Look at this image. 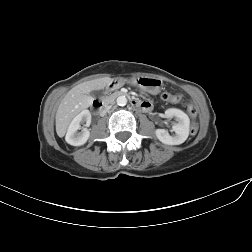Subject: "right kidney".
I'll list each match as a JSON object with an SVG mask.
<instances>
[{"label": "right kidney", "instance_id": "right-kidney-1", "mask_svg": "<svg viewBox=\"0 0 252 252\" xmlns=\"http://www.w3.org/2000/svg\"><path fill=\"white\" fill-rule=\"evenodd\" d=\"M90 123H91L90 111L87 109L81 111L77 116L73 118L68 127L65 136L66 142L72 146L84 145L90 136V132L87 128H83L81 132H78V130L81 129V124H83L85 127H89Z\"/></svg>", "mask_w": 252, "mask_h": 252}]
</instances>
